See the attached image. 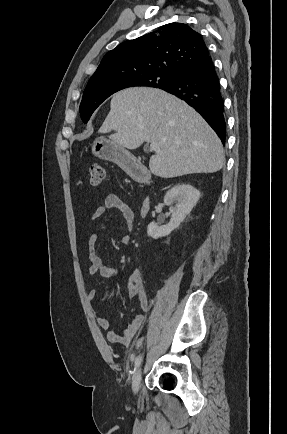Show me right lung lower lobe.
<instances>
[{
  "label": "right lung lower lobe",
  "instance_id": "1",
  "mask_svg": "<svg viewBox=\"0 0 287 434\" xmlns=\"http://www.w3.org/2000/svg\"><path fill=\"white\" fill-rule=\"evenodd\" d=\"M164 90L192 106L217 133L222 143H225L224 102L210 56L180 72L176 82Z\"/></svg>",
  "mask_w": 287,
  "mask_h": 434
}]
</instances>
